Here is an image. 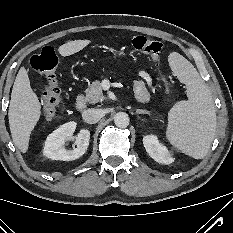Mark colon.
Wrapping results in <instances>:
<instances>
[{
  "mask_svg": "<svg viewBox=\"0 0 233 233\" xmlns=\"http://www.w3.org/2000/svg\"><path fill=\"white\" fill-rule=\"evenodd\" d=\"M132 47L136 51L150 54L158 62L163 44L158 40L137 36L132 40ZM30 65L45 80L41 105L44 118L50 121L56 115L61 102V88L55 73L58 57L54 48L51 46L44 47L40 54L32 56Z\"/></svg>",
  "mask_w": 233,
  "mask_h": 233,
  "instance_id": "colon-1",
  "label": "colon"
}]
</instances>
